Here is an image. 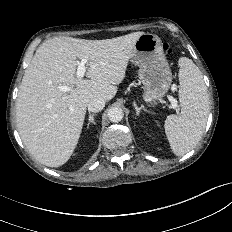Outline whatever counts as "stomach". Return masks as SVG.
Listing matches in <instances>:
<instances>
[{
  "instance_id": "0dacf381",
  "label": "stomach",
  "mask_w": 232,
  "mask_h": 232,
  "mask_svg": "<svg viewBox=\"0 0 232 232\" xmlns=\"http://www.w3.org/2000/svg\"><path fill=\"white\" fill-rule=\"evenodd\" d=\"M130 61L139 67L138 76L144 95L151 104L165 96L172 83V73L162 42L155 34L144 33L137 40Z\"/></svg>"
}]
</instances>
